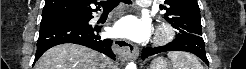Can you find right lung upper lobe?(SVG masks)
<instances>
[{
	"label": "right lung upper lobe",
	"mask_w": 246,
	"mask_h": 69,
	"mask_svg": "<svg viewBox=\"0 0 246 69\" xmlns=\"http://www.w3.org/2000/svg\"><path fill=\"white\" fill-rule=\"evenodd\" d=\"M90 4H97L92 0H46L42 17L61 14H92L97 11Z\"/></svg>",
	"instance_id": "right-lung-upper-lobe-1"
}]
</instances>
